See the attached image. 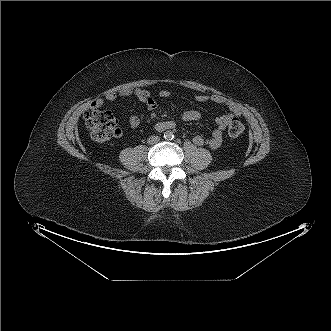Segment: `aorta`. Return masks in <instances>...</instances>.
I'll return each mask as SVG.
<instances>
[{"label": "aorta", "instance_id": "obj_1", "mask_svg": "<svg viewBox=\"0 0 331 331\" xmlns=\"http://www.w3.org/2000/svg\"><path fill=\"white\" fill-rule=\"evenodd\" d=\"M164 138L167 140H172L174 138V133L170 130L165 131Z\"/></svg>", "mask_w": 331, "mask_h": 331}]
</instances>
